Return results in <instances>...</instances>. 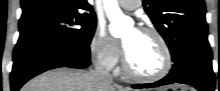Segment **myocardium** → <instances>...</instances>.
Segmentation results:
<instances>
[{
  "label": "myocardium",
  "instance_id": "obj_1",
  "mask_svg": "<svg viewBox=\"0 0 220 91\" xmlns=\"http://www.w3.org/2000/svg\"><path fill=\"white\" fill-rule=\"evenodd\" d=\"M138 31L145 33V34H149L156 39L163 53V66L155 74L143 75V74L136 73L130 68L125 49H123L122 51L123 73L129 78L133 80L141 81V82H155V81L161 80L162 78H164L165 76L169 74L172 68V64H173L172 53L169 48V45L167 41L165 40V38L163 37V35L154 28L141 27L138 29Z\"/></svg>",
  "mask_w": 220,
  "mask_h": 91
}]
</instances>
